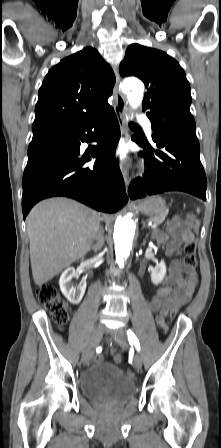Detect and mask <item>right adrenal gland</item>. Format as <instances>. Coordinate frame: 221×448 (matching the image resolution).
Listing matches in <instances>:
<instances>
[{"label": "right adrenal gland", "mask_w": 221, "mask_h": 448, "mask_svg": "<svg viewBox=\"0 0 221 448\" xmlns=\"http://www.w3.org/2000/svg\"><path fill=\"white\" fill-rule=\"evenodd\" d=\"M100 245L96 243L95 245H92L90 248V251H97L99 249Z\"/></svg>", "instance_id": "2a0ac1e0"}]
</instances>
